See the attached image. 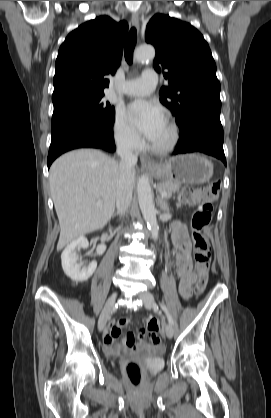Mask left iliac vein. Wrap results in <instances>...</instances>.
<instances>
[{"label": "left iliac vein", "instance_id": "1", "mask_svg": "<svg viewBox=\"0 0 271 418\" xmlns=\"http://www.w3.org/2000/svg\"><path fill=\"white\" fill-rule=\"evenodd\" d=\"M139 299H141L147 309L155 307L154 297L150 292L144 291L138 294ZM164 331L168 338H172L174 331L170 324H164Z\"/></svg>", "mask_w": 271, "mask_h": 418}]
</instances>
